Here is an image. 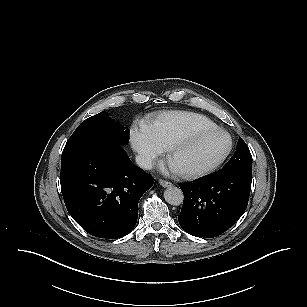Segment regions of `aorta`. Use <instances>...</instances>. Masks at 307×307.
Listing matches in <instances>:
<instances>
[{
    "label": "aorta",
    "mask_w": 307,
    "mask_h": 307,
    "mask_svg": "<svg viewBox=\"0 0 307 307\" xmlns=\"http://www.w3.org/2000/svg\"><path fill=\"white\" fill-rule=\"evenodd\" d=\"M164 199L167 203L178 206L183 202V192L180 188L170 186L164 192Z\"/></svg>",
    "instance_id": "762f6f07"
}]
</instances>
